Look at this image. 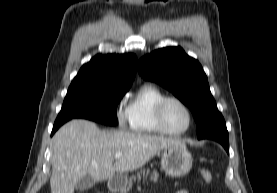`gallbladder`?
Here are the masks:
<instances>
[{
	"label": "gallbladder",
	"instance_id": "obj_1",
	"mask_svg": "<svg viewBox=\"0 0 277 193\" xmlns=\"http://www.w3.org/2000/svg\"><path fill=\"white\" fill-rule=\"evenodd\" d=\"M94 185L95 181L90 176H85L80 181H78L75 188L78 191H85L92 188Z\"/></svg>",
	"mask_w": 277,
	"mask_h": 193
}]
</instances>
